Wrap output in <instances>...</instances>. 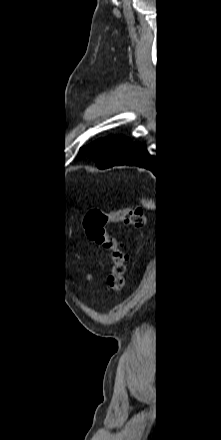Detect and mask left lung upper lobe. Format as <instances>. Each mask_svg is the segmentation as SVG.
<instances>
[{"label":"left lung upper lobe","mask_w":221,"mask_h":440,"mask_svg":"<svg viewBox=\"0 0 221 440\" xmlns=\"http://www.w3.org/2000/svg\"><path fill=\"white\" fill-rule=\"evenodd\" d=\"M131 140L123 136L108 137L82 147L81 152L91 157L98 168L111 167L119 161L128 150Z\"/></svg>","instance_id":"obj_1"}]
</instances>
